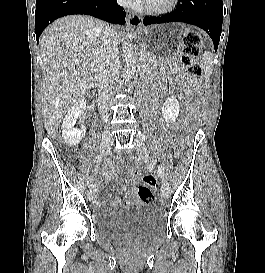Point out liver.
Listing matches in <instances>:
<instances>
[{"mask_svg":"<svg viewBox=\"0 0 265 273\" xmlns=\"http://www.w3.org/2000/svg\"><path fill=\"white\" fill-rule=\"evenodd\" d=\"M105 26L89 16L70 15L57 19L42 33V116L52 138L65 113L98 79ZM113 30L119 40L118 31Z\"/></svg>","mask_w":265,"mask_h":273,"instance_id":"1","label":"liver"}]
</instances>
